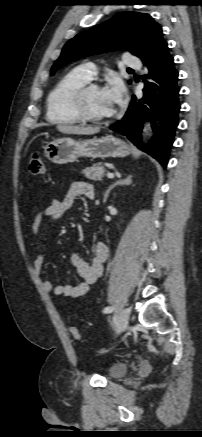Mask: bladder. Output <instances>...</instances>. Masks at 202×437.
<instances>
[{
    "instance_id": "bladder-1",
    "label": "bladder",
    "mask_w": 202,
    "mask_h": 437,
    "mask_svg": "<svg viewBox=\"0 0 202 437\" xmlns=\"http://www.w3.org/2000/svg\"><path fill=\"white\" fill-rule=\"evenodd\" d=\"M128 371V365L124 362L113 363L108 369V376L116 379L124 376Z\"/></svg>"
}]
</instances>
